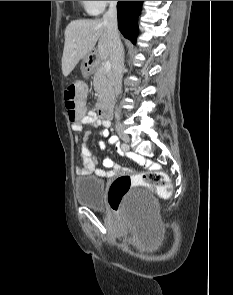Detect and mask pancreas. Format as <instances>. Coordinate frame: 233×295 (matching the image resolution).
Instances as JSON below:
<instances>
[{
	"label": "pancreas",
	"instance_id": "cf45deb5",
	"mask_svg": "<svg viewBox=\"0 0 233 295\" xmlns=\"http://www.w3.org/2000/svg\"><path fill=\"white\" fill-rule=\"evenodd\" d=\"M93 85L100 98H108L112 92V72L104 70L103 65H98L95 69Z\"/></svg>",
	"mask_w": 233,
	"mask_h": 295
}]
</instances>
